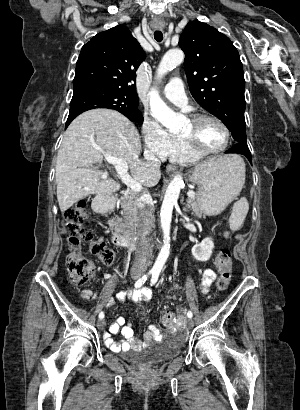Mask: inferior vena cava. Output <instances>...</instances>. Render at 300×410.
Segmentation results:
<instances>
[{
  "mask_svg": "<svg viewBox=\"0 0 300 410\" xmlns=\"http://www.w3.org/2000/svg\"><path fill=\"white\" fill-rule=\"evenodd\" d=\"M147 162L156 169H160V161L152 155H148ZM151 201V196L149 193H145L140 198L137 199L136 204L139 209L138 211V237L139 241L143 244V249L138 250L133 263V270L145 271L148 267L150 258L152 256V250H154L155 240L149 238L147 235L151 232L153 220H152V210L150 208L149 202Z\"/></svg>",
  "mask_w": 300,
  "mask_h": 410,
  "instance_id": "1",
  "label": "inferior vena cava"
}]
</instances>
